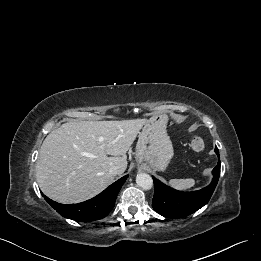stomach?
Masks as SVG:
<instances>
[{
	"instance_id": "obj_1",
	"label": "stomach",
	"mask_w": 261,
	"mask_h": 261,
	"mask_svg": "<svg viewBox=\"0 0 261 261\" xmlns=\"http://www.w3.org/2000/svg\"><path fill=\"white\" fill-rule=\"evenodd\" d=\"M167 116L156 115L146 120L136 145V159L155 171L166 169L174 151L166 130Z\"/></svg>"
}]
</instances>
